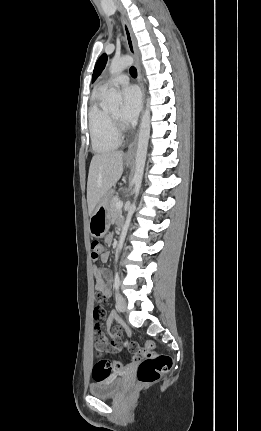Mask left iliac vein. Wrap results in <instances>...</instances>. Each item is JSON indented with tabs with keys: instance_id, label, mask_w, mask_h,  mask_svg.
<instances>
[{
	"instance_id": "obj_1",
	"label": "left iliac vein",
	"mask_w": 261,
	"mask_h": 431,
	"mask_svg": "<svg viewBox=\"0 0 261 431\" xmlns=\"http://www.w3.org/2000/svg\"><path fill=\"white\" fill-rule=\"evenodd\" d=\"M115 301L117 310L124 312L126 310V299L120 293H116Z\"/></svg>"
}]
</instances>
